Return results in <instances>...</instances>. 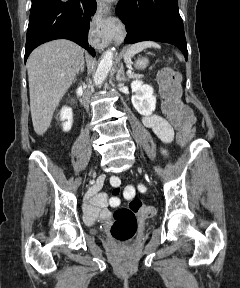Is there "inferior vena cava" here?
<instances>
[{"label": "inferior vena cava", "instance_id": "1", "mask_svg": "<svg viewBox=\"0 0 240 288\" xmlns=\"http://www.w3.org/2000/svg\"><path fill=\"white\" fill-rule=\"evenodd\" d=\"M89 99H90V93L89 91H85L83 95V105L85 108H88Z\"/></svg>", "mask_w": 240, "mask_h": 288}]
</instances>
